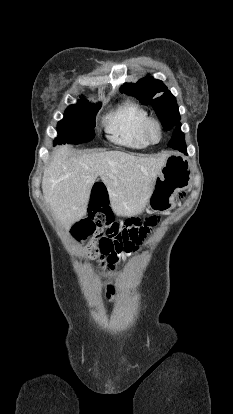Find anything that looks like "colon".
<instances>
[{"label": "colon", "instance_id": "obj_1", "mask_svg": "<svg viewBox=\"0 0 233 414\" xmlns=\"http://www.w3.org/2000/svg\"><path fill=\"white\" fill-rule=\"evenodd\" d=\"M155 221L154 217H149L146 223L153 224ZM74 234L80 239L94 234L95 240L87 246L85 254L87 258L95 259L103 257L102 254L106 251L131 252L139 244L145 232L140 218L132 217L125 223L119 224L112 220V214L108 209L99 212L89 211L88 215L75 226ZM109 288L110 286L106 288V298L111 301L114 293H109Z\"/></svg>", "mask_w": 233, "mask_h": 414}]
</instances>
